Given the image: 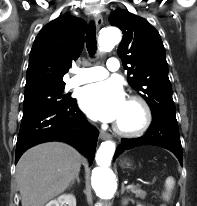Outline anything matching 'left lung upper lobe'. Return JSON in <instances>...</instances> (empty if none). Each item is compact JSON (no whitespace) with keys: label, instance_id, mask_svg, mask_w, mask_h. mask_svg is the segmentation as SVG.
<instances>
[{"label":"left lung upper lobe","instance_id":"5c2ea615","mask_svg":"<svg viewBox=\"0 0 197 206\" xmlns=\"http://www.w3.org/2000/svg\"><path fill=\"white\" fill-rule=\"evenodd\" d=\"M109 22L123 32L117 53L130 75L129 84L146 100L152 116L176 118L165 48L157 30L144 18L124 10L114 11Z\"/></svg>","mask_w":197,"mask_h":206}]
</instances>
